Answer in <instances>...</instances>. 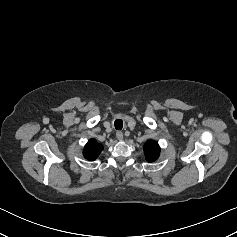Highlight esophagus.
Masks as SVG:
<instances>
[{
	"instance_id": "1",
	"label": "esophagus",
	"mask_w": 237,
	"mask_h": 237,
	"mask_svg": "<svg viewBox=\"0 0 237 237\" xmlns=\"http://www.w3.org/2000/svg\"><path fill=\"white\" fill-rule=\"evenodd\" d=\"M116 137L118 140H122L123 139V133L121 131H117L116 132Z\"/></svg>"
}]
</instances>
